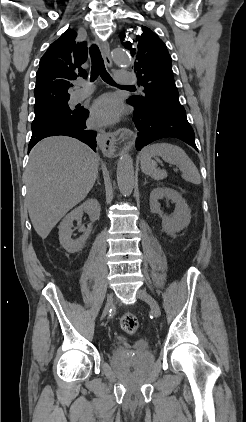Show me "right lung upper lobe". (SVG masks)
I'll list each match as a JSON object with an SVG mask.
<instances>
[{"label": "right lung upper lobe", "mask_w": 246, "mask_h": 422, "mask_svg": "<svg viewBox=\"0 0 246 422\" xmlns=\"http://www.w3.org/2000/svg\"><path fill=\"white\" fill-rule=\"evenodd\" d=\"M76 32L67 30L53 42L40 60L34 89V109L69 100L70 83L77 77H86L81 65L87 60L85 42L76 43Z\"/></svg>", "instance_id": "right-lung-upper-lobe-1"}]
</instances>
